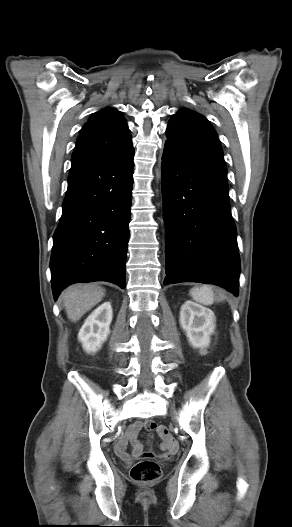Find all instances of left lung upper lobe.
Wrapping results in <instances>:
<instances>
[{"mask_svg":"<svg viewBox=\"0 0 292 527\" xmlns=\"http://www.w3.org/2000/svg\"><path fill=\"white\" fill-rule=\"evenodd\" d=\"M166 144L192 155L224 162L217 133L202 115L181 109L173 115L167 130Z\"/></svg>","mask_w":292,"mask_h":527,"instance_id":"left-lung-upper-lobe-1","label":"left lung upper lobe"}]
</instances>
